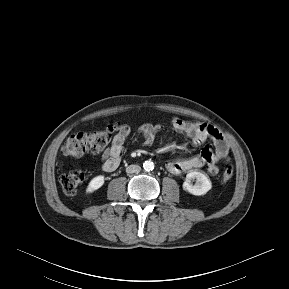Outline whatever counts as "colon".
<instances>
[{
	"label": "colon",
	"instance_id": "obj_1",
	"mask_svg": "<svg viewBox=\"0 0 289 289\" xmlns=\"http://www.w3.org/2000/svg\"><path fill=\"white\" fill-rule=\"evenodd\" d=\"M118 125H111L105 130L93 133H77L70 136L62 146V153L70 157H81L86 154H97L106 150L111 142L113 132L117 131ZM234 173V167L229 164L222 175V182L230 181ZM85 179V173L74 170L64 173L60 178L63 191L67 195H74L80 189Z\"/></svg>",
	"mask_w": 289,
	"mask_h": 289
}]
</instances>
